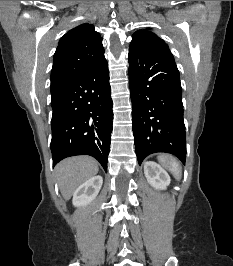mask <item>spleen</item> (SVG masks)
I'll return each instance as SVG.
<instances>
[{"label": "spleen", "instance_id": "1", "mask_svg": "<svg viewBox=\"0 0 233 266\" xmlns=\"http://www.w3.org/2000/svg\"><path fill=\"white\" fill-rule=\"evenodd\" d=\"M158 160L161 165L168 169L177 180L181 178V167L172 157L160 156L158 157Z\"/></svg>", "mask_w": 233, "mask_h": 266}]
</instances>
